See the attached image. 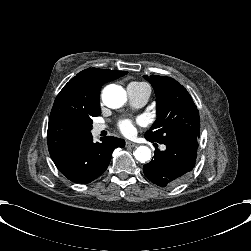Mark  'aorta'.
I'll use <instances>...</instances> for the list:
<instances>
[{
  "instance_id": "aorta-1",
  "label": "aorta",
  "mask_w": 251,
  "mask_h": 251,
  "mask_svg": "<svg viewBox=\"0 0 251 251\" xmlns=\"http://www.w3.org/2000/svg\"><path fill=\"white\" fill-rule=\"evenodd\" d=\"M102 100L106 106L116 109L126 103L127 94L122 86L110 84L103 89ZM133 155L140 163H146L151 159V150L147 146H139Z\"/></svg>"
}]
</instances>
